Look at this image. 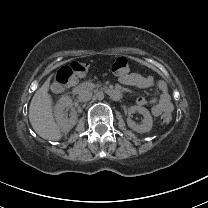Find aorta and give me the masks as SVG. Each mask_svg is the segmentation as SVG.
<instances>
[{"label":"aorta","mask_w":208,"mask_h":208,"mask_svg":"<svg viewBox=\"0 0 208 208\" xmlns=\"http://www.w3.org/2000/svg\"><path fill=\"white\" fill-rule=\"evenodd\" d=\"M96 99L99 102L104 101V99H105L104 93L103 92H98L97 95H96Z\"/></svg>","instance_id":"762f6f07"}]
</instances>
